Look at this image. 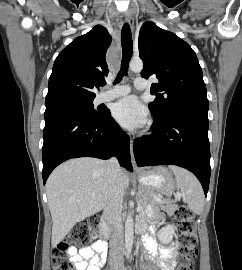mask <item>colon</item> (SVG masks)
I'll return each instance as SVG.
<instances>
[{
	"label": "colon",
	"mask_w": 242,
	"mask_h": 270,
	"mask_svg": "<svg viewBox=\"0 0 242 270\" xmlns=\"http://www.w3.org/2000/svg\"><path fill=\"white\" fill-rule=\"evenodd\" d=\"M176 217L180 221L182 231L179 270H193V262L198 252L194 213L189 207L181 206L176 211ZM97 227V221L78 222L54 249L53 270H75L76 266L69 254L70 247L88 242Z\"/></svg>",
	"instance_id": "1"
}]
</instances>
